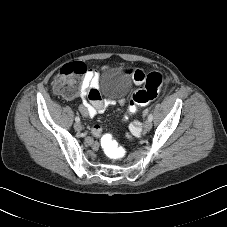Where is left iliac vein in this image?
Instances as JSON below:
<instances>
[{"instance_id": "1", "label": "left iliac vein", "mask_w": 227, "mask_h": 227, "mask_svg": "<svg viewBox=\"0 0 227 227\" xmlns=\"http://www.w3.org/2000/svg\"><path fill=\"white\" fill-rule=\"evenodd\" d=\"M152 128V122L147 120L143 125V130L148 132Z\"/></svg>"}]
</instances>
